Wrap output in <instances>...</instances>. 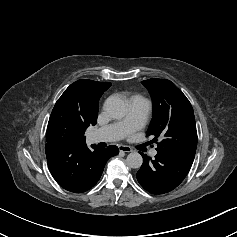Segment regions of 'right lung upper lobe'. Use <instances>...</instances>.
<instances>
[{
    "instance_id": "cb5924a9",
    "label": "right lung upper lobe",
    "mask_w": 237,
    "mask_h": 237,
    "mask_svg": "<svg viewBox=\"0 0 237 237\" xmlns=\"http://www.w3.org/2000/svg\"><path fill=\"white\" fill-rule=\"evenodd\" d=\"M110 86V82L81 79L71 84L56 104L67 107L87 127L90 124L95 125L98 101Z\"/></svg>"
}]
</instances>
